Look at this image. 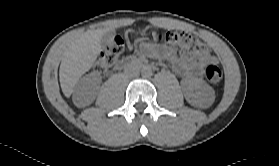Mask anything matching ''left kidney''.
I'll list each match as a JSON object with an SVG mask.
<instances>
[{"instance_id":"obj_1","label":"left kidney","mask_w":279,"mask_h":166,"mask_svg":"<svg viewBox=\"0 0 279 166\" xmlns=\"http://www.w3.org/2000/svg\"><path fill=\"white\" fill-rule=\"evenodd\" d=\"M186 101L195 107L211 105L215 99L213 88L199 78H186L182 81Z\"/></svg>"}]
</instances>
